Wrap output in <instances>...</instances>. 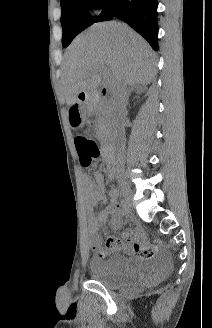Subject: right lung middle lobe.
<instances>
[{"instance_id":"right-lung-middle-lobe-1","label":"right lung middle lobe","mask_w":212,"mask_h":328,"mask_svg":"<svg viewBox=\"0 0 212 328\" xmlns=\"http://www.w3.org/2000/svg\"><path fill=\"white\" fill-rule=\"evenodd\" d=\"M104 0H61L62 46L67 47L83 30L94 23L87 8L101 6Z\"/></svg>"}]
</instances>
